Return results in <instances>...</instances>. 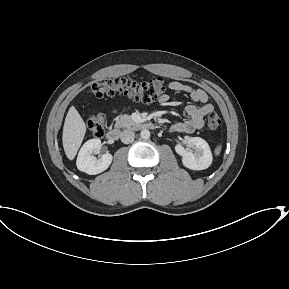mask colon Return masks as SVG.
<instances>
[{
	"instance_id": "colon-1",
	"label": "colon",
	"mask_w": 289,
	"mask_h": 289,
	"mask_svg": "<svg viewBox=\"0 0 289 289\" xmlns=\"http://www.w3.org/2000/svg\"><path fill=\"white\" fill-rule=\"evenodd\" d=\"M89 92L94 97L123 94L143 103H151L165 92V85L162 78L138 82L126 77H117L91 84ZM220 126L221 118L217 113L211 112L207 117V127L215 131ZM87 127L93 136L102 137L106 129L105 115H92L87 121Z\"/></svg>"
}]
</instances>
